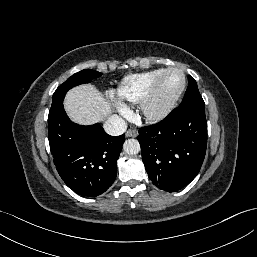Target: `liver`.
Returning <instances> with one entry per match:
<instances>
[{
	"mask_svg": "<svg viewBox=\"0 0 257 257\" xmlns=\"http://www.w3.org/2000/svg\"><path fill=\"white\" fill-rule=\"evenodd\" d=\"M64 108L70 119L80 125H90L107 117L111 104L90 84L71 89L64 100Z\"/></svg>",
	"mask_w": 257,
	"mask_h": 257,
	"instance_id": "obj_1",
	"label": "liver"
}]
</instances>
